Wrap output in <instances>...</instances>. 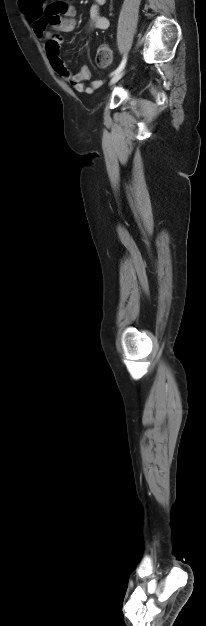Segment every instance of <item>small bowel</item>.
<instances>
[{"instance_id": "small-bowel-1", "label": "small bowel", "mask_w": 206, "mask_h": 626, "mask_svg": "<svg viewBox=\"0 0 206 626\" xmlns=\"http://www.w3.org/2000/svg\"><path fill=\"white\" fill-rule=\"evenodd\" d=\"M106 0H94L89 10L88 30H106L109 27V20L100 15V7ZM25 15L32 20L33 29L36 36L43 40V45L47 57L57 74L68 82L75 91L92 93L102 84V80L91 81L90 70L87 66H82L76 73H73L65 64L59 54L62 38L55 33H69L76 27V9L73 4L65 1H55L48 5L41 0L36 1V5L24 10Z\"/></svg>"}]
</instances>
